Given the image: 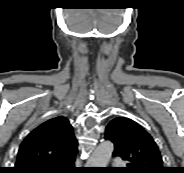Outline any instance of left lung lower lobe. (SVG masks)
Segmentation results:
<instances>
[{
    "label": "left lung lower lobe",
    "instance_id": "1",
    "mask_svg": "<svg viewBox=\"0 0 184 173\" xmlns=\"http://www.w3.org/2000/svg\"><path fill=\"white\" fill-rule=\"evenodd\" d=\"M103 173H109V171L106 170V171H103Z\"/></svg>",
    "mask_w": 184,
    "mask_h": 173
}]
</instances>
